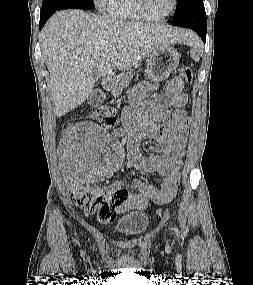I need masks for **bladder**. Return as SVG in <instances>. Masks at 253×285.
Masks as SVG:
<instances>
[{"label":"bladder","instance_id":"1","mask_svg":"<svg viewBox=\"0 0 253 285\" xmlns=\"http://www.w3.org/2000/svg\"><path fill=\"white\" fill-rule=\"evenodd\" d=\"M150 217L147 212L130 210L122 214L113 226L116 235L123 238H136L148 228Z\"/></svg>","mask_w":253,"mask_h":285}]
</instances>
